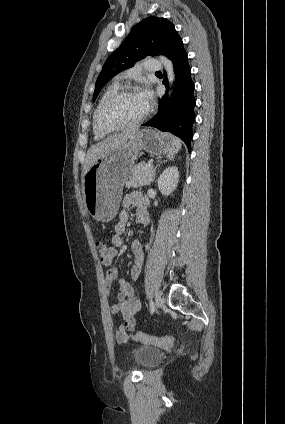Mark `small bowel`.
I'll return each instance as SVG.
<instances>
[{
    "instance_id": "1",
    "label": "small bowel",
    "mask_w": 285,
    "mask_h": 424,
    "mask_svg": "<svg viewBox=\"0 0 285 424\" xmlns=\"http://www.w3.org/2000/svg\"><path fill=\"white\" fill-rule=\"evenodd\" d=\"M123 209L119 213V219L114 226L115 234L112 236V245L120 248L124 244L123 234L126 224L130 218V208H136V221L139 224H146L149 220L146 209V201L141 191H133L126 194L122 200ZM131 250L134 256V264L130 271L132 280H138L144 262V250L140 240H133ZM118 278V270L115 267L108 269L103 282L104 296L108 299L112 294V284ZM117 303L109 307L112 315H120L123 319L122 325L114 331V338L118 343L127 342L136 329L135 315L141 309V303L135 297L134 287L124 279L118 280Z\"/></svg>"
}]
</instances>
